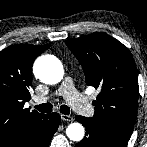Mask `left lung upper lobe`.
Segmentation results:
<instances>
[{"instance_id":"5c2ea615","label":"left lung upper lobe","mask_w":147,"mask_h":147,"mask_svg":"<svg viewBox=\"0 0 147 147\" xmlns=\"http://www.w3.org/2000/svg\"><path fill=\"white\" fill-rule=\"evenodd\" d=\"M65 43L81 63L86 84L100 91L90 120L127 144L136 121L139 93L131 53L118 40L101 32Z\"/></svg>"}]
</instances>
